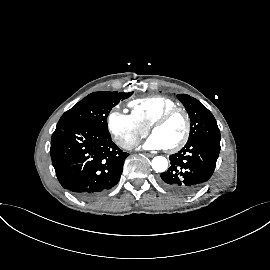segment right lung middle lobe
Returning a JSON list of instances; mask_svg holds the SVG:
<instances>
[{"label": "right lung middle lobe", "instance_id": "obj_1", "mask_svg": "<svg viewBox=\"0 0 270 270\" xmlns=\"http://www.w3.org/2000/svg\"><path fill=\"white\" fill-rule=\"evenodd\" d=\"M133 92H94L75 104L60 118L57 126L85 124L105 133L108 132L107 116L120 101L129 98Z\"/></svg>", "mask_w": 270, "mask_h": 270}]
</instances>
